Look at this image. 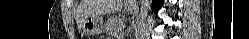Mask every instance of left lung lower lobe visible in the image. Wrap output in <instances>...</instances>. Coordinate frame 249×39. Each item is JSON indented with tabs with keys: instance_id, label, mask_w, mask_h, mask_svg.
I'll return each mask as SVG.
<instances>
[{
	"instance_id": "obj_1",
	"label": "left lung lower lobe",
	"mask_w": 249,
	"mask_h": 39,
	"mask_svg": "<svg viewBox=\"0 0 249 39\" xmlns=\"http://www.w3.org/2000/svg\"><path fill=\"white\" fill-rule=\"evenodd\" d=\"M161 5H162V1L161 0H154L153 7H152L153 11L157 12L158 9L161 7Z\"/></svg>"
}]
</instances>
